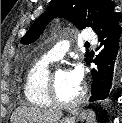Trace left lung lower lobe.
Here are the masks:
<instances>
[{"label": "left lung lower lobe", "instance_id": "obj_1", "mask_svg": "<svg viewBox=\"0 0 122 123\" xmlns=\"http://www.w3.org/2000/svg\"><path fill=\"white\" fill-rule=\"evenodd\" d=\"M101 44L100 53L86 60L94 62L97 68L92 70L93 86L90 102L112 100L120 82L122 72V38L119 22L113 14L104 27L97 33Z\"/></svg>", "mask_w": 122, "mask_h": 123}]
</instances>
